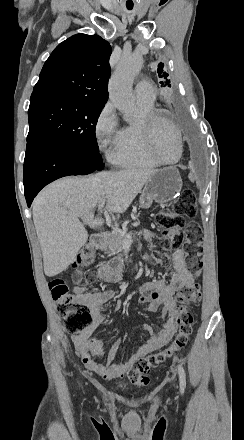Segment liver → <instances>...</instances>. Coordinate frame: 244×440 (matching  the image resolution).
Masks as SVG:
<instances>
[{
	"mask_svg": "<svg viewBox=\"0 0 244 440\" xmlns=\"http://www.w3.org/2000/svg\"><path fill=\"white\" fill-rule=\"evenodd\" d=\"M155 172L154 168L98 172L85 178L67 176L46 186L32 208L45 276H57L74 262L88 240L84 224L91 228L104 224L94 218L100 200H105L103 210L123 214Z\"/></svg>",
	"mask_w": 244,
	"mask_h": 440,
	"instance_id": "6515ba94",
	"label": "liver"
}]
</instances>
